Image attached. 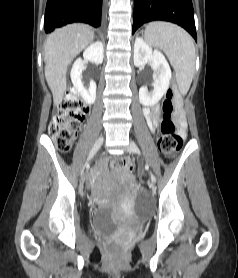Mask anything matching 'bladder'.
<instances>
[{"mask_svg": "<svg viewBox=\"0 0 238 278\" xmlns=\"http://www.w3.org/2000/svg\"><path fill=\"white\" fill-rule=\"evenodd\" d=\"M89 227L95 233L108 235L116 230L117 224L110 218L107 211L99 210L90 217Z\"/></svg>", "mask_w": 238, "mask_h": 278, "instance_id": "obj_1", "label": "bladder"}]
</instances>
